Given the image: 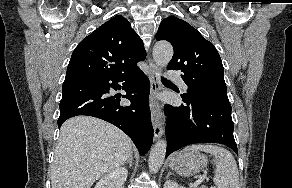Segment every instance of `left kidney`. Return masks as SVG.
Returning a JSON list of instances; mask_svg holds the SVG:
<instances>
[{
	"label": "left kidney",
	"instance_id": "5707ae66",
	"mask_svg": "<svg viewBox=\"0 0 292 188\" xmlns=\"http://www.w3.org/2000/svg\"><path fill=\"white\" fill-rule=\"evenodd\" d=\"M163 188H185V187L179 186L175 181L168 180L164 183Z\"/></svg>",
	"mask_w": 292,
	"mask_h": 188
}]
</instances>
